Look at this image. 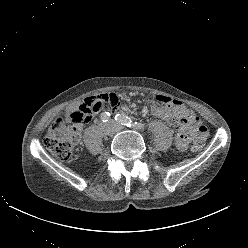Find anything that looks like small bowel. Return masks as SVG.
Here are the masks:
<instances>
[{"label":"small bowel","mask_w":248,"mask_h":248,"mask_svg":"<svg viewBox=\"0 0 248 248\" xmlns=\"http://www.w3.org/2000/svg\"><path fill=\"white\" fill-rule=\"evenodd\" d=\"M104 96H108L110 102H105ZM97 97L102 102L99 111L103 110L106 105H109L112 110L120 107L119 99L115 94H101ZM141 113L143 115L150 113L167 123H175L179 128L175 144L180 151L187 149L191 137L196 134L195 126L199 123L197 116L178 100L158 95L154 100H149V106L143 107Z\"/></svg>","instance_id":"small-bowel-1"}]
</instances>
